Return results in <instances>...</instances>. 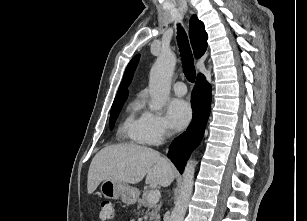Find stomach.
<instances>
[{
  "label": "stomach",
  "instance_id": "obj_1",
  "mask_svg": "<svg viewBox=\"0 0 307 221\" xmlns=\"http://www.w3.org/2000/svg\"><path fill=\"white\" fill-rule=\"evenodd\" d=\"M100 192L105 198L121 199L126 204H134L139 197L138 189L117 180H104Z\"/></svg>",
  "mask_w": 307,
  "mask_h": 221
}]
</instances>
